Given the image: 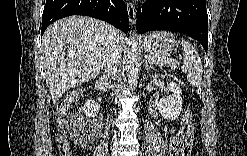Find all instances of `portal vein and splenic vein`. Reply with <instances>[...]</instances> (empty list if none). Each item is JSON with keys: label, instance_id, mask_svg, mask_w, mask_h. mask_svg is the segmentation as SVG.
Instances as JSON below:
<instances>
[{"label": "portal vein and splenic vein", "instance_id": "18ae733b", "mask_svg": "<svg viewBox=\"0 0 247 156\" xmlns=\"http://www.w3.org/2000/svg\"><path fill=\"white\" fill-rule=\"evenodd\" d=\"M165 62H167V63H168V65H169V66H171V67H176V65H179V62L175 61L174 59H170V60L165 61ZM170 63H171V65H170ZM182 69L184 70V69H185V67H184V66H182Z\"/></svg>", "mask_w": 247, "mask_h": 156}]
</instances>
